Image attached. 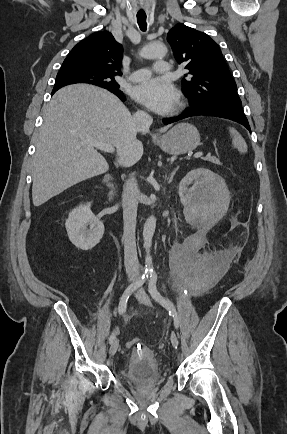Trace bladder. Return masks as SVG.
<instances>
[{"mask_svg":"<svg viewBox=\"0 0 287 434\" xmlns=\"http://www.w3.org/2000/svg\"><path fill=\"white\" fill-rule=\"evenodd\" d=\"M162 371L156 356L151 352H132L120 370L121 379L131 385H147L157 382Z\"/></svg>","mask_w":287,"mask_h":434,"instance_id":"obj_1","label":"bladder"}]
</instances>
